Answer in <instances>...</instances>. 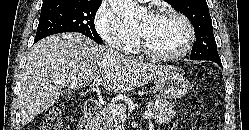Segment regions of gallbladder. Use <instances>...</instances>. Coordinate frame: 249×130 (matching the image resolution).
Masks as SVG:
<instances>
[{"instance_id": "1", "label": "gallbladder", "mask_w": 249, "mask_h": 130, "mask_svg": "<svg viewBox=\"0 0 249 130\" xmlns=\"http://www.w3.org/2000/svg\"><path fill=\"white\" fill-rule=\"evenodd\" d=\"M62 95L65 96V97H70L71 93L69 91L63 90Z\"/></svg>"}]
</instances>
